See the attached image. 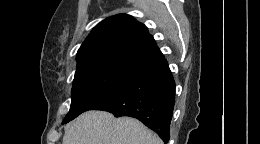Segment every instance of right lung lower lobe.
<instances>
[{"label": "right lung lower lobe", "mask_w": 260, "mask_h": 144, "mask_svg": "<svg viewBox=\"0 0 260 144\" xmlns=\"http://www.w3.org/2000/svg\"><path fill=\"white\" fill-rule=\"evenodd\" d=\"M174 103L175 82L163 58L137 70L121 89L92 110L134 117L167 143Z\"/></svg>", "instance_id": "right-lung-lower-lobe-1"}]
</instances>
